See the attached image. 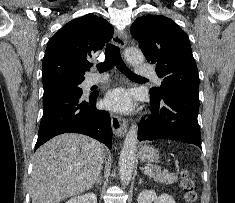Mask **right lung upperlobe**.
I'll list each match as a JSON object with an SVG mask.
<instances>
[{"label": "right lung upper lobe", "mask_w": 235, "mask_h": 203, "mask_svg": "<svg viewBox=\"0 0 235 203\" xmlns=\"http://www.w3.org/2000/svg\"><path fill=\"white\" fill-rule=\"evenodd\" d=\"M113 27L93 14L76 18L48 42L43 58V86L58 82L83 81L89 59L113 36Z\"/></svg>", "instance_id": "right-lung-upper-lobe-1"}]
</instances>
